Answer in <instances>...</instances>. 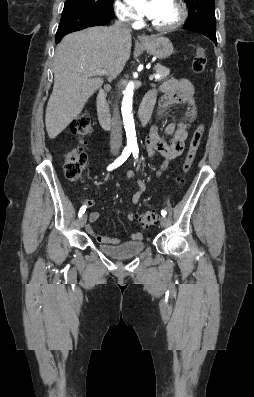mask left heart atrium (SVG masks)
<instances>
[{
  "mask_svg": "<svg viewBox=\"0 0 254 397\" xmlns=\"http://www.w3.org/2000/svg\"><path fill=\"white\" fill-rule=\"evenodd\" d=\"M162 0H130V3L140 12L152 17L160 6Z\"/></svg>",
  "mask_w": 254,
  "mask_h": 397,
  "instance_id": "left-heart-atrium-1",
  "label": "left heart atrium"
}]
</instances>
